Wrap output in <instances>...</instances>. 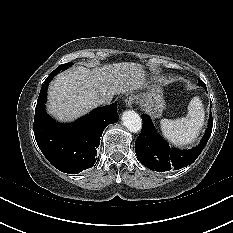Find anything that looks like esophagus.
I'll list each match as a JSON object with an SVG mask.
<instances>
[{
    "label": "esophagus",
    "instance_id": "34e87169",
    "mask_svg": "<svg viewBox=\"0 0 233 233\" xmlns=\"http://www.w3.org/2000/svg\"><path fill=\"white\" fill-rule=\"evenodd\" d=\"M134 98L133 97H127L125 99V104L127 107H132L134 105Z\"/></svg>",
    "mask_w": 233,
    "mask_h": 233
}]
</instances>
